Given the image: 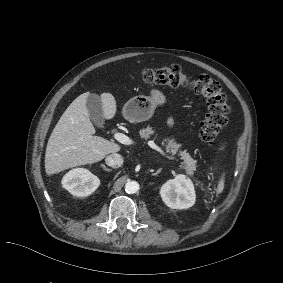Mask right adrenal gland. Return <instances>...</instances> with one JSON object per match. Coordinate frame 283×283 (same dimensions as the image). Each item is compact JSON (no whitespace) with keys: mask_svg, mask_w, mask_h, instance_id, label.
I'll return each instance as SVG.
<instances>
[{"mask_svg":"<svg viewBox=\"0 0 283 283\" xmlns=\"http://www.w3.org/2000/svg\"><path fill=\"white\" fill-rule=\"evenodd\" d=\"M102 168H103L104 170H106V171H109V172H110V169H109V168H107V167L105 166V164H102Z\"/></svg>","mask_w":283,"mask_h":283,"instance_id":"right-adrenal-gland-1","label":"right adrenal gland"}]
</instances>
